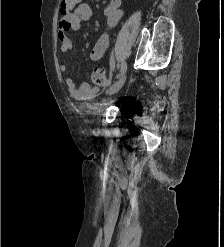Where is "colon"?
Masks as SVG:
<instances>
[{
	"label": "colon",
	"mask_w": 224,
	"mask_h": 247,
	"mask_svg": "<svg viewBox=\"0 0 224 247\" xmlns=\"http://www.w3.org/2000/svg\"><path fill=\"white\" fill-rule=\"evenodd\" d=\"M81 0H61L60 13L62 16L69 15L73 9L78 5ZM93 81L101 86H105L108 83V78L105 71L102 68H95L93 72Z\"/></svg>",
	"instance_id": "1"
}]
</instances>
